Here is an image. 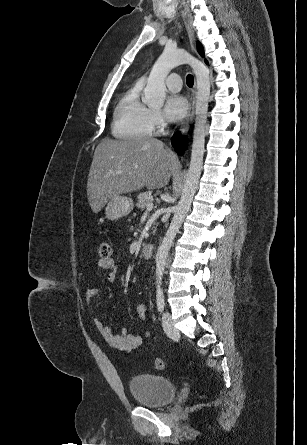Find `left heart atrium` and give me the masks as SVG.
Listing matches in <instances>:
<instances>
[{"label":"left heart atrium","mask_w":307,"mask_h":445,"mask_svg":"<svg viewBox=\"0 0 307 445\" xmlns=\"http://www.w3.org/2000/svg\"><path fill=\"white\" fill-rule=\"evenodd\" d=\"M188 111L187 100L176 92H168L164 99V113L172 121L182 119Z\"/></svg>","instance_id":"39dd6f15"}]
</instances>
